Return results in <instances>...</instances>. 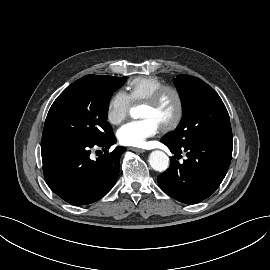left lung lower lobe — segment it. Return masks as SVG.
<instances>
[{"label": "left lung lower lobe", "mask_w": 270, "mask_h": 270, "mask_svg": "<svg viewBox=\"0 0 270 270\" xmlns=\"http://www.w3.org/2000/svg\"><path fill=\"white\" fill-rule=\"evenodd\" d=\"M161 142L175 155L184 151L187 156L183 163L170 158V167L158 176L165 193L183 203H197L215 192L230 165L233 141L200 138L184 146Z\"/></svg>", "instance_id": "1"}]
</instances>
